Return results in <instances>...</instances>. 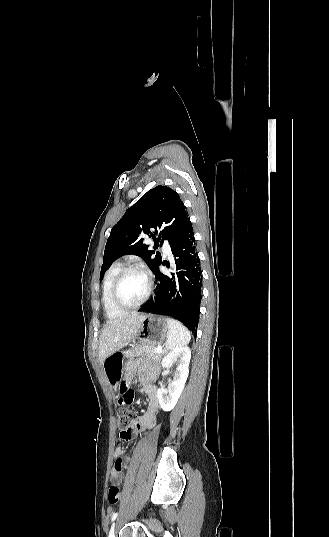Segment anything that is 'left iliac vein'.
<instances>
[{"label":"left iliac vein","instance_id":"obj_1","mask_svg":"<svg viewBox=\"0 0 329 537\" xmlns=\"http://www.w3.org/2000/svg\"><path fill=\"white\" fill-rule=\"evenodd\" d=\"M108 537H115V523L112 525Z\"/></svg>","mask_w":329,"mask_h":537}]
</instances>
